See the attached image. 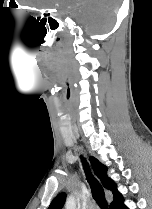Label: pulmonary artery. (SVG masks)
<instances>
[{
  "label": "pulmonary artery",
  "mask_w": 152,
  "mask_h": 209,
  "mask_svg": "<svg viewBox=\"0 0 152 209\" xmlns=\"http://www.w3.org/2000/svg\"><path fill=\"white\" fill-rule=\"evenodd\" d=\"M88 209H98V207L95 204H90Z\"/></svg>",
  "instance_id": "1"
}]
</instances>
